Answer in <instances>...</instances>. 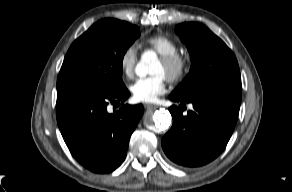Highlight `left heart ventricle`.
I'll return each mask as SVG.
<instances>
[{
  "label": "left heart ventricle",
  "instance_id": "1",
  "mask_svg": "<svg viewBox=\"0 0 292 192\" xmlns=\"http://www.w3.org/2000/svg\"><path fill=\"white\" fill-rule=\"evenodd\" d=\"M151 73L153 74H166V69L165 66L163 65V63L161 61H158L154 67L151 70Z\"/></svg>",
  "mask_w": 292,
  "mask_h": 192
}]
</instances>
